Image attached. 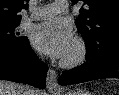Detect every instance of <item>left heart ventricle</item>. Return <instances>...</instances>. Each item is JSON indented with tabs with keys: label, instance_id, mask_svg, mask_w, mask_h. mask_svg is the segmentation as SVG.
<instances>
[{
	"label": "left heart ventricle",
	"instance_id": "obj_1",
	"mask_svg": "<svg viewBox=\"0 0 119 95\" xmlns=\"http://www.w3.org/2000/svg\"><path fill=\"white\" fill-rule=\"evenodd\" d=\"M74 51H75V45H74V43H73V44L71 45L69 51H68L67 54L65 55V57H69V56L73 55Z\"/></svg>",
	"mask_w": 119,
	"mask_h": 95
}]
</instances>
